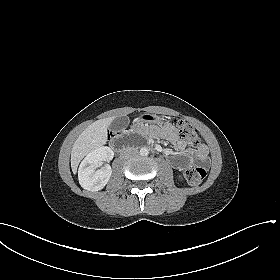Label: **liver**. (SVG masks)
<instances>
[{
    "mask_svg": "<svg viewBox=\"0 0 280 280\" xmlns=\"http://www.w3.org/2000/svg\"><path fill=\"white\" fill-rule=\"evenodd\" d=\"M116 117L97 120L89 125L76 139L71 150V168L76 173L80 161L95 148L107 142V129Z\"/></svg>",
    "mask_w": 280,
    "mask_h": 280,
    "instance_id": "1",
    "label": "liver"
}]
</instances>
